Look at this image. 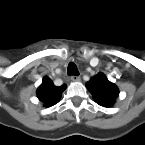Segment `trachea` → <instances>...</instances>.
Here are the masks:
<instances>
[{"label":"trachea","instance_id":"trachea-1","mask_svg":"<svg viewBox=\"0 0 145 145\" xmlns=\"http://www.w3.org/2000/svg\"><path fill=\"white\" fill-rule=\"evenodd\" d=\"M67 72H68L69 75H75V76L79 75V71H78L76 65L73 62H70L68 64Z\"/></svg>","mask_w":145,"mask_h":145}]
</instances>
